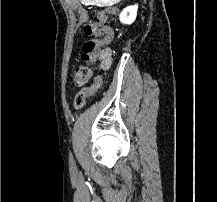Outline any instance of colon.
I'll return each instance as SVG.
<instances>
[{"instance_id":"5ec220e1","label":"colon","mask_w":217,"mask_h":202,"mask_svg":"<svg viewBox=\"0 0 217 202\" xmlns=\"http://www.w3.org/2000/svg\"><path fill=\"white\" fill-rule=\"evenodd\" d=\"M97 23L88 22L83 25V32L87 36V39L84 41L82 50H81V59L85 63H91L95 59V54L99 46L98 40L94 39V35L98 34L103 36L105 39L109 38L111 35V28L106 25V18L108 11L106 10H96L95 11ZM90 67L87 65L78 66L73 72V81L77 85H84L89 82L91 77ZM84 89L81 93L75 96V106L77 108L83 107L87 100L91 98L99 90L102 85V77L97 76L93 79V83Z\"/></svg>"}]
</instances>
